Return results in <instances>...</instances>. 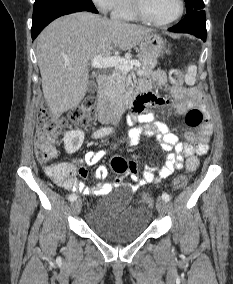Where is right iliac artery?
I'll return each mask as SVG.
<instances>
[{
  "label": "right iliac artery",
  "mask_w": 233,
  "mask_h": 284,
  "mask_svg": "<svg viewBox=\"0 0 233 284\" xmlns=\"http://www.w3.org/2000/svg\"><path fill=\"white\" fill-rule=\"evenodd\" d=\"M112 128H101L99 130H97L96 132L93 133V137L94 138H100V137H104L108 134H110L112 132ZM69 200L71 202L75 201L77 199V195L75 193H72L69 195Z\"/></svg>",
  "instance_id": "obj_1"
}]
</instances>
